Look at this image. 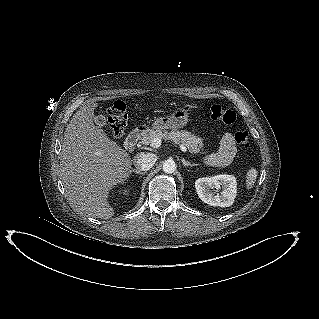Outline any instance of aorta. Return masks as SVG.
I'll use <instances>...</instances> for the list:
<instances>
[{"label": "aorta", "instance_id": "762f6f07", "mask_svg": "<svg viewBox=\"0 0 319 319\" xmlns=\"http://www.w3.org/2000/svg\"><path fill=\"white\" fill-rule=\"evenodd\" d=\"M176 168L177 167H176L175 162L171 159H168V160L164 161V163H163V171L165 173H173V172H175Z\"/></svg>", "mask_w": 319, "mask_h": 319}]
</instances>
